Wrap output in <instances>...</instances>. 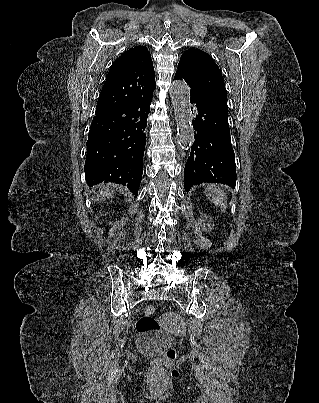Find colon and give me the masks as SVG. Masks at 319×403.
I'll return each instance as SVG.
<instances>
[{"mask_svg":"<svg viewBox=\"0 0 319 403\" xmlns=\"http://www.w3.org/2000/svg\"><path fill=\"white\" fill-rule=\"evenodd\" d=\"M155 308L153 306H147L144 310V314L138 319L136 323V329L140 334L146 335L159 331L160 326L157 320L154 318ZM177 359V353L174 348H168L163 353L160 359H156L152 362L153 368H159L164 364L174 363Z\"/></svg>","mask_w":319,"mask_h":403,"instance_id":"obj_1","label":"colon"}]
</instances>
